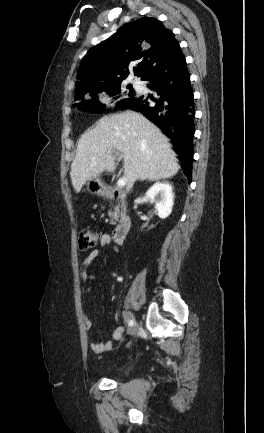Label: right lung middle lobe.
<instances>
[{"label":"right lung middle lobe","mask_w":264,"mask_h":433,"mask_svg":"<svg viewBox=\"0 0 264 433\" xmlns=\"http://www.w3.org/2000/svg\"><path fill=\"white\" fill-rule=\"evenodd\" d=\"M128 88L130 89L129 92H122L120 86L105 91L108 98L117 101L115 109H117L118 107L123 108L137 96L136 93L132 90V85H129ZM98 94L99 93H96L86 97L85 99L76 101V104L74 106H78V108L87 112L104 113L106 111V105L101 104L98 101Z\"/></svg>","instance_id":"dd1d6c3e"}]
</instances>
